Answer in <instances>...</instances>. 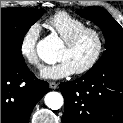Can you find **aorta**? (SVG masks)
<instances>
[{"label":"aorta","instance_id":"obj_1","mask_svg":"<svg viewBox=\"0 0 123 123\" xmlns=\"http://www.w3.org/2000/svg\"><path fill=\"white\" fill-rule=\"evenodd\" d=\"M58 43L56 39L49 35L37 43L36 51L40 59L46 63H53L56 60V50ZM44 102L46 106L52 110L62 107L63 96L58 92H49L45 95Z\"/></svg>","mask_w":123,"mask_h":123}]
</instances>
